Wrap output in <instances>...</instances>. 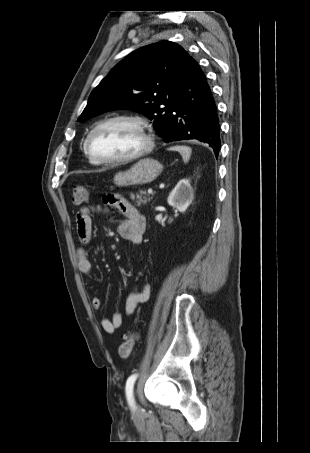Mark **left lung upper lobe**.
<instances>
[{"label":"left lung upper lobe","mask_w":310,"mask_h":453,"mask_svg":"<svg viewBox=\"0 0 310 453\" xmlns=\"http://www.w3.org/2000/svg\"><path fill=\"white\" fill-rule=\"evenodd\" d=\"M191 59L181 46L170 41L133 51L92 91L78 121L117 108H132L153 119L160 134L186 80Z\"/></svg>","instance_id":"obj_1"}]
</instances>
